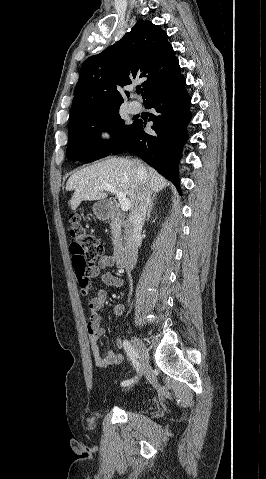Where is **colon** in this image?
I'll list each match as a JSON object with an SVG mask.
<instances>
[{
  "label": "colon",
  "mask_w": 266,
  "mask_h": 479,
  "mask_svg": "<svg viewBox=\"0 0 266 479\" xmlns=\"http://www.w3.org/2000/svg\"><path fill=\"white\" fill-rule=\"evenodd\" d=\"M69 223L73 239L70 245L72 266L81 292L88 294L93 287L88 269L95 267L103 255L104 248L100 239L85 228L79 215H71Z\"/></svg>",
  "instance_id": "5ec220e1"
}]
</instances>
